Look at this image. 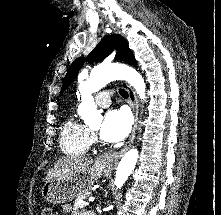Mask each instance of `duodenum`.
Here are the masks:
<instances>
[{"mask_svg":"<svg viewBox=\"0 0 221 215\" xmlns=\"http://www.w3.org/2000/svg\"><path fill=\"white\" fill-rule=\"evenodd\" d=\"M87 215H94V214H92V213H87Z\"/></svg>","mask_w":221,"mask_h":215,"instance_id":"obj_1","label":"duodenum"}]
</instances>
